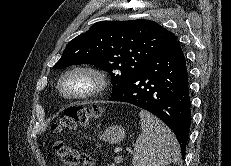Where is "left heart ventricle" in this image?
<instances>
[{"label":"left heart ventricle","mask_w":231,"mask_h":166,"mask_svg":"<svg viewBox=\"0 0 231 166\" xmlns=\"http://www.w3.org/2000/svg\"><path fill=\"white\" fill-rule=\"evenodd\" d=\"M90 81L82 75H74L64 83V89L68 92H78L89 87Z\"/></svg>","instance_id":"b2bd125f"}]
</instances>
